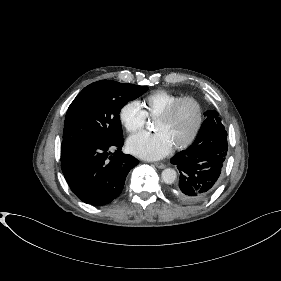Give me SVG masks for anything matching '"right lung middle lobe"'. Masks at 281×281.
I'll return each instance as SVG.
<instances>
[{"label": "right lung middle lobe", "mask_w": 281, "mask_h": 281, "mask_svg": "<svg viewBox=\"0 0 281 281\" xmlns=\"http://www.w3.org/2000/svg\"><path fill=\"white\" fill-rule=\"evenodd\" d=\"M147 90L146 86L111 80L85 87L68 108L61 152L81 144L108 143L123 138L120 110Z\"/></svg>", "instance_id": "obj_1"}]
</instances>
